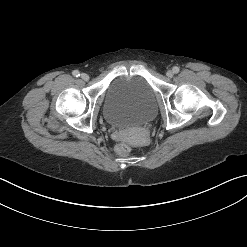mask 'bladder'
<instances>
[{
    "label": "bladder",
    "mask_w": 247,
    "mask_h": 247,
    "mask_svg": "<svg viewBox=\"0 0 247 247\" xmlns=\"http://www.w3.org/2000/svg\"><path fill=\"white\" fill-rule=\"evenodd\" d=\"M102 112L105 120L117 128L147 124L157 114L155 90L142 75L117 77L105 92Z\"/></svg>",
    "instance_id": "1"
}]
</instances>
